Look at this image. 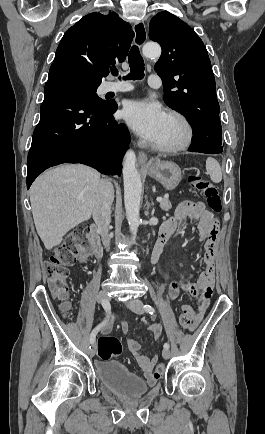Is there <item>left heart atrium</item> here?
I'll return each mask as SVG.
<instances>
[{"instance_id": "left-heart-atrium-1", "label": "left heart atrium", "mask_w": 265, "mask_h": 434, "mask_svg": "<svg viewBox=\"0 0 265 434\" xmlns=\"http://www.w3.org/2000/svg\"><path fill=\"white\" fill-rule=\"evenodd\" d=\"M127 124L143 138L155 143L166 123V113L148 100L130 101L123 109Z\"/></svg>"}]
</instances>
